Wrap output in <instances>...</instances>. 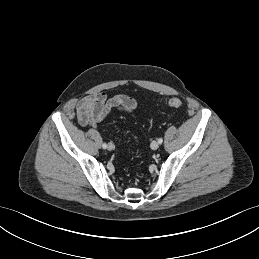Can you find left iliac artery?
I'll return each mask as SVG.
<instances>
[{"instance_id": "44dca946", "label": "left iliac artery", "mask_w": 259, "mask_h": 259, "mask_svg": "<svg viewBox=\"0 0 259 259\" xmlns=\"http://www.w3.org/2000/svg\"><path fill=\"white\" fill-rule=\"evenodd\" d=\"M162 142H163V138H159V139H158V143H159V144H162Z\"/></svg>"}]
</instances>
